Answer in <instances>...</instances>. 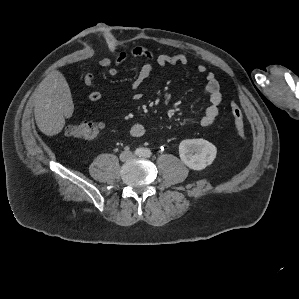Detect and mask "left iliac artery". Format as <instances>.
Listing matches in <instances>:
<instances>
[{
  "mask_svg": "<svg viewBox=\"0 0 299 299\" xmlns=\"http://www.w3.org/2000/svg\"><path fill=\"white\" fill-rule=\"evenodd\" d=\"M151 151L149 149L144 150L143 156L149 158L151 156Z\"/></svg>",
  "mask_w": 299,
  "mask_h": 299,
  "instance_id": "44dca946",
  "label": "left iliac artery"
}]
</instances>
